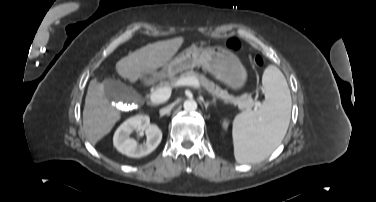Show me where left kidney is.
Instances as JSON below:
<instances>
[{"mask_svg": "<svg viewBox=\"0 0 376 202\" xmlns=\"http://www.w3.org/2000/svg\"><path fill=\"white\" fill-rule=\"evenodd\" d=\"M224 127H225V128L228 127V123H227V122L224 123Z\"/></svg>", "mask_w": 376, "mask_h": 202, "instance_id": "5707ae66", "label": "left kidney"}]
</instances>
